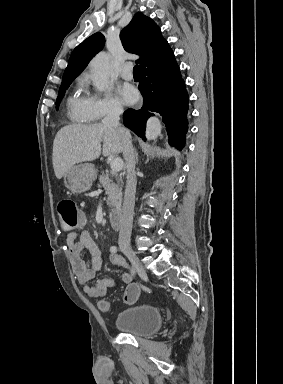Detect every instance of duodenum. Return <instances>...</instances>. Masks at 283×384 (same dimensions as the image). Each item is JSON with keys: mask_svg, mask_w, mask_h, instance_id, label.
Masks as SVG:
<instances>
[{"mask_svg": "<svg viewBox=\"0 0 283 384\" xmlns=\"http://www.w3.org/2000/svg\"><path fill=\"white\" fill-rule=\"evenodd\" d=\"M110 222H111V225L115 228V229H120L122 227V224H123V214L121 211H115V212H112L110 215Z\"/></svg>", "mask_w": 283, "mask_h": 384, "instance_id": "duodenum-1", "label": "duodenum"}]
</instances>
